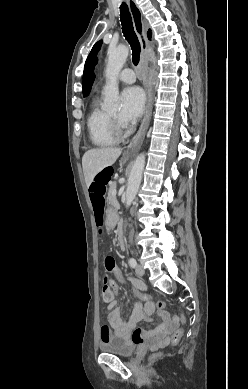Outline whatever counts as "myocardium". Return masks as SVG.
I'll list each match as a JSON object with an SVG mask.
<instances>
[{
  "instance_id": "1",
  "label": "myocardium",
  "mask_w": 248,
  "mask_h": 389,
  "mask_svg": "<svg viewBox=\"0 0 248 389\" xmlns=\"http://www.w3.org/2000/svg\"><path fill=\"white\" fill-rule=\"evenodd\" d=\"M111 122H112V128H113V132L117 135V136H120L121 135V131H120V128L116 122V119L114 116H111Z\"/></svg>"
}]
</instances>
